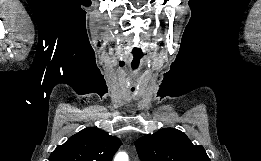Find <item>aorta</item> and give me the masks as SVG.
<instances>
[{"instance_id":"obj_1","label":"aorta","mask_w":261,"mask_h":161,"mask_svg":"<svg viewBox=\"0 0 261 161\" xmlns=\"http://www.w3.org/2000/svg\"><path fill=\"white\" fill-rule=\"evenodd\" d=\"M114 161H129V158L125 152H119L116 154Z\"/></svg>"}]
</instances>
